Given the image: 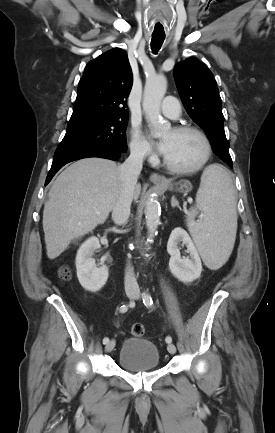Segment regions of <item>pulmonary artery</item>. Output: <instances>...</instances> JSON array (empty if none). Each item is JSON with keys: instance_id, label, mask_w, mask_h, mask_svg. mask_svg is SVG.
Returning <instances> with one entry per match:
<instances>
[{"instance_id": "pulmonary-artery-1", "label": "pulmonary artery", "mask_w": 275, "mask_h": 433, "mask_svg": "<svg viewBox=\"0 0 275 433\" xmlns=\"http://www.w3.org/2000/svg\"><path fill=\"white\" fill-rule=\"evenodd\" d=\"M161 110L165 116L172 119L178 118L181 113L179 101L172 96H168L163 100Z\"/></svg>"}]
</instances>
